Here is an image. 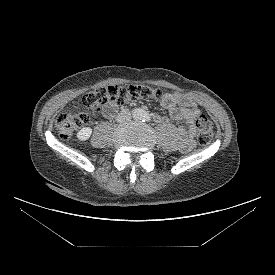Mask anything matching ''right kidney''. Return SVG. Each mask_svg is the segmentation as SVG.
Returning a JSON list of instances; mask_svg holds the SVG:
<instances>
[{"label":"right kidney","mask_w":275,"mask_h":275,"mask_svg":"<svg viewBox=\"0 0 275 275\" xmlns=\"http://www.w3.org/2000/svg\"><path fill=\"white\" fill-rule=\"evenodd\" d=\"M91 134H92V129L90 127H84L78 131L77 138L80 141H86L90 138Z\"/></svg>","instance_id":"right-kidney-1"}]
</instances>
